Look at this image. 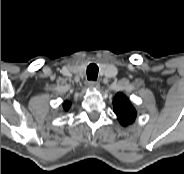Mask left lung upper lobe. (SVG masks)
<instances>
[{"label":"left lung upper lobe","instance_id":"left-lung-upper-lobe-1","mask_svg":"<svg viewBox=\"0 0 184 174\" xmlns=\"http://www.w3.org/2000/svg\"><path fill=\"white\" fill-rule=\"evenodd\" d=\"M114 112L122 126H127L135 121L137 112L129 98L119 92L113 99Z\"/></svg>","mask_w":184,"mask_h":174}]
</instances>
